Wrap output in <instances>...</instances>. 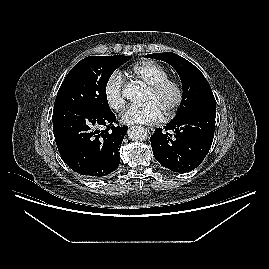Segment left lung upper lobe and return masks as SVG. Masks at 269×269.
I'll list each match as a JSON object with an SVG mask.
<instances>
[{
    "label": "left lung upper lobe",
    "instance_id": "obj_1",
    "mask_svg": "<svg viewBox=\"0 0 269 269\" xmlns=\"http://www.w3.org/2000/svg\"><path fill=\"white\" fill-rule=\"evenodd\" d=\"M145 57L166 61L177 71L181 79L182 103L173 121L182 118L203 104H216L211 87L204 75L183 57L172 52L148 54Z\"/></svg>",
    "mask_w": 269,
    "mask_h": 269
}]
</instances>
